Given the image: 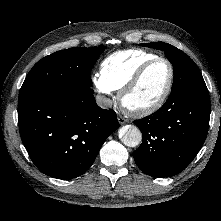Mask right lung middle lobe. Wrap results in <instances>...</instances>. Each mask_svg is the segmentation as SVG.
<instances>
[{"instance_id":"dd1d6c3e","label":"right lung middle lobe","mask_w":221,"mask_h":221,"mask_svg":"<svg viewBox=\"0 0 221 221\" xmlns=\"http://www.w3.org/2000/svg\"><path fill=\"white\" fill-rule=\"evenodd\" d=\"M106 47L71 48L38 61L27 75L19 95L49 90H83L92 85L91 69Z\"/></svg>"}]
</instances>
